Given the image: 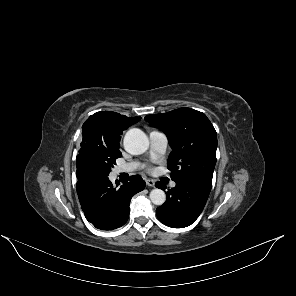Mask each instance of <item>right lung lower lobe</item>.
<instances>
[{"instance_id": "obj_1", "label": "right lung lower lobe", "mask_w": 296, "mask_h": 296, "mask_svg": "<svg viewBox=\"0 0 296 296\" xmlns=\"http://www.w3.org/2000/svg\"><path fill=\"white\" fill-rule=\"evenodd\" d=\"M76 188L86 219L96 228L113 230L124 225L129 217L132 196L145 188V181L138 175L119 186H114L93 159L76 157Z\"/></svg>"}]
</instances>
